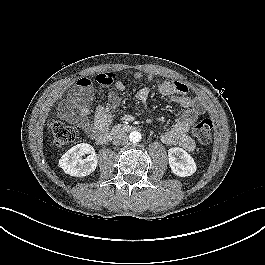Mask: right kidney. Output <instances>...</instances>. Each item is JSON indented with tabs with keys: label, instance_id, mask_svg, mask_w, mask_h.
I'll return each mask as SVG.
<instances>
[{
	"label": "right kidney",
	"instance_id": "obj_1",
	"mask_svg": "<svg viewBox=\"0 0 265 265\" xmlns=\"http://www.w3.org/2000/svg\"><path fill=\"white\" fill-rule=\"evenodd\" d=\"M84 154H90L87 158L82 159ZM98 163V158L95 154L94 148L87 143H80L70 148L59 160V166L65 173L75 176L83 177L95 171Z\"/></svg>",
	"mask_w": 265,
	"mask_h": 265
}]
</instances>
